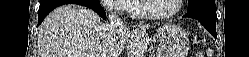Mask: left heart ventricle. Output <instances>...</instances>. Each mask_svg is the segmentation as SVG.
Masks as SVG:
<instances>
[{
	"label": "left heart ventricle",
	"instance_id": "1",
	"mask_svg": "<svg viewBox=\"0 0 249 57\" xmlns=\"http://www.w3.org/2000/svg\"><path fill=\"white\" fill-rule=\"evenodd\" d=\"M147 8L153 14H165L176 8V0H148Z\"/></svg>",
	"mask_w": 249,
	"mask_h": 57
}]
</instances>
